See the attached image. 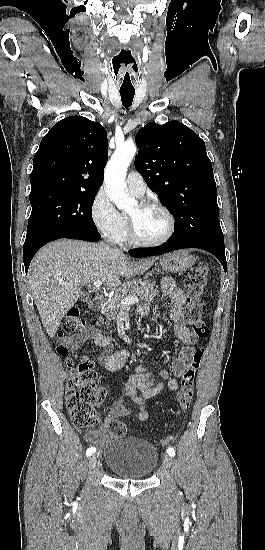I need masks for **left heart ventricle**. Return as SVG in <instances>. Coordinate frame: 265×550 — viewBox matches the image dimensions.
Here are the masks:
<instances>
[{"label": "left heart ventricle", "instance_id": "left-heart-ventricle-1", "mask_svg": "<svg viewBox=\"0 0 265 550\" xmlns=\"http://www.w3.org/2000/svg\"><path fill=\"white\" fill-rule=\"evenodd\" d=\"M128 215L134 220L137 235L142 240H159L167 232L168 219L166 215L158 209L151 208L142 210L136 205Z\"/></svg>", "mask_w": 265, "mask_h": 550}]
</instances>
